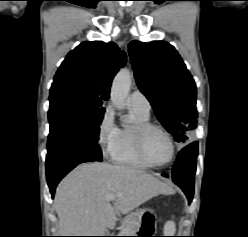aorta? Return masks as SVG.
<instances>
[{"label": "aorta", "instance_id": "1", "mask_svg": "<svg viewBox=\"0 0 248 237\" xmlns=\"http://www.w3.org/2000/svg\"><path fill=\"white\" fill-rule=\"evenodd\" d=\"M132 74L127 68L121 69L115 76L112 87L110 98L113 105L122 110L126 106V99L129 94L130 86H131ZM124 122H128V120L124 117Z\"/></svg>", "mask_w": 248, "mask_h": 237}]
</instances>
